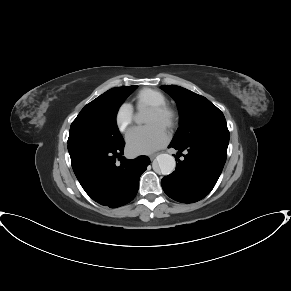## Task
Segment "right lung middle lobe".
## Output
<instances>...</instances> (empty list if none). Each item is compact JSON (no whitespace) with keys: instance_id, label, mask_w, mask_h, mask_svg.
<instances>
[{"instance_id":"obj_1","label":"right lung middle lobe","mask_w":291,"mask_h":291,"mask_svg":"<svg viewBox=\"0 0 291 291\" xmlns=\"http://www.w3.org/2000/svg\"><path fill=\"white\" fill-rule=\"evenodd\" d=\"M136 88V85L112 88L87 104L71 124L68 145L90 143L115 147L124 143L116 124V114Z\"/></svg>"}]
</instances>
